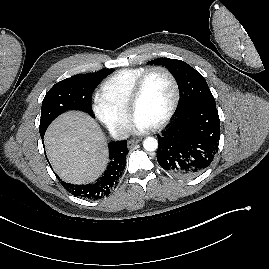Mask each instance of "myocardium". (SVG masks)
I'll use <instances>...</instances> for the list:
<instances>
[{"mask_svg": "<svg viewBox=\"0 0 269 269\" xmlns=\"http://www.w3.org/2000/svg\"><path fill=\"white\" fill-rule=\"evenodd\" d=\"M155 71H161L169 77V79L172 82L173 91H174L173 100H172V103H171L170 108L167 111L166 115L158 123L151 126V129L157 130V129L163 128L165 125H167L169 123V121L171 120V118L175 114L177 107L179 105V102H180V96H181L180 85H179L177 77L170 69H168L164 66H161V65H156V66H152V67L147 68L141 74V76L138 78V80L135 83V86L133 88L132 94H131L130 99H129L128 111L131 114V116L135 115V109H136V106H137L141 96H142L147 79Z\"/></svg>", "mask_w": 269, "mask_h": 269, "instance_id": "f54148a6", "label": "myocardium"}]
</instances>
